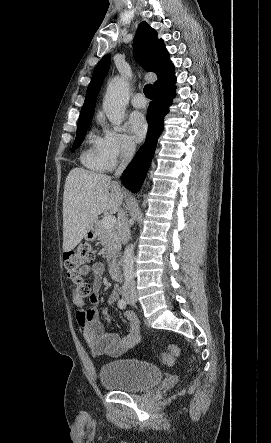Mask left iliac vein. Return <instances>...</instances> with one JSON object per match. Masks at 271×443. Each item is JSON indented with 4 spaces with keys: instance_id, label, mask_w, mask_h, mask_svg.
<instances>
[{
    "instance_id": "1",
    "label": "left iliac vein",
    "mask_w": 271,
    "mask_h": 443,
    "mask_svg": "<svg viewBox=\"0 0 271 443\" xmlns=\"http://www.w3.org/2000/svg\"><path fill=\"white\" fill-rule=\"evenodd\" d=\"M128 302L131 303V304H134L136 302L135 296H134L133 299H128Z\"/></svg>"
}]
</instances>
